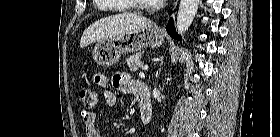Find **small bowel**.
<instances>
[{
    "label": "small bowel",
    "instance_id": "c3829d8e",
    "mask_svg": "<svg viewBox=\"0 0 280 137\" xmlns=\"http://www.w3.org/2000/svg\"><path fill=\"white\" fill-rule=\"evenodd\" d=\"M94 81L104 89H107L111 85L120 92L134 94L135 96H137V88L138 84H140L120 71L115 72L112 77L104 73H97L94 76ZM103 96L107 107L114 108L117 105V96L114 92L106 90ZM81 118L85 127L86 137H101L95 125L96 115L94 112L83 110L81 112Z\"/></svg>",
    "mask_w": 280,
    "mask_h": 137
}]
</instances>
